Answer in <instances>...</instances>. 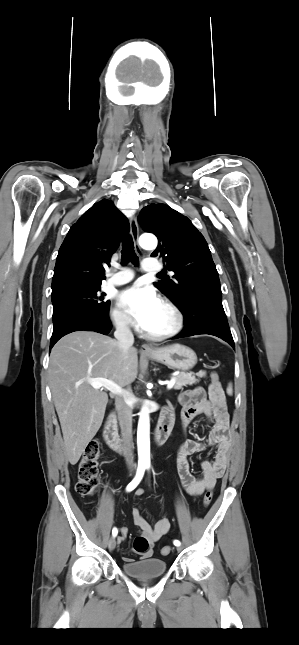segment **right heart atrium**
<instances>
[{
    "mask_svg": "<svg viewBox=\"0 0 299 645\" xmlns=\"http://www.w3.org/2000/svg\"><path fill=\"white\" fill-rule=\"evenodd\" d=\"M112 324L120 330H129L133 327V322L129 315L118 307H113L109 313Z\"/></svg>",
    "mask_w": 299,
    "mask_h": 645,
    "instance_id": "d8ad5b80",
    "label": "right heart atrium"
}]
</instances>
